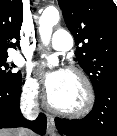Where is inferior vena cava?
I'll list each match as a JSON object with an SVG mask.
<instances>
[{
	"mask_svg": "<svg viewBox=\"0 0 117 136\" xmlns=\"http://www.w3.org/2000/svg\"><path fill=\"white\" fill-rule=\"evenodd\" d=\"M20 108L24 117L28 120H33L38 116L39 108L38 104L34 102V98H30L29 100H22L20 103ZM21 130L26 131L25 129Z\"/></svg>",
	"mask_w": 117,
	"mask_h": 136,
	"instance_id": "obj_1",
	"label": "inferior vena cava"
}]
</instances>
